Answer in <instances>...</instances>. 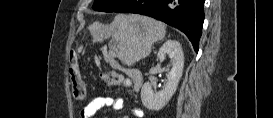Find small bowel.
<instances>
[{"mask_svg": "<svg viewBox=\"0 0 273 118\" xmlns=\"http://www.w3.org/2000/svg\"><path fill=\"white\" fill-rule=\"evenodd\" d=\"M124 101L120 97L112 95H98L93 97L80 111L81 118H91L100 109L111 108L113 110H121L123 108ZM132 116L142 117L143 111L139 107H132L130 109Z\"/></svg>", "mask_w": 273, "mask_h": 118, "instance_id": "small-bowel-1", "label": "small bowel"}]
</instances>
